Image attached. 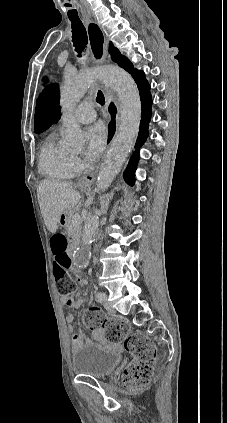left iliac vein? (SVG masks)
I'll return each mask as SVG.
<instances>
[{
    "instance_id": "1",
    "label": "left iliac vein",
    "mask_w": 227,
    "mask_h": 423,
    "mask_svg": "<svg viewBox=\"0 0 227 423\" xmlns=\"http://www.w3.org/2000/svg\"><path fill=\"white\" fill-rule=\"evenodd\" d=\"M101 294L104 296L103 304L106 310L109 311L110 313H114L115 311L112 305L107 301V296L104 293H101Z\"/></svg>"
}]
</instances>
